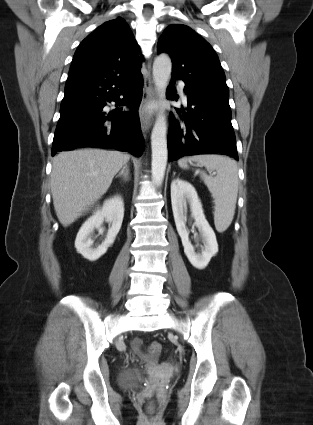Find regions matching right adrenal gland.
<instances>
[{
	"instance_id": "right-adrenal-gland-1",
	"label": "right adrenal gland",
	"mask_w": 313,
	"mask_h": 425,
	"mask_svg": "<svg viewBox=\"0 0 313 425\" xmlns=\"http://www.w3.org/2000/svg\"><path fill=\"white\" fill-rule=\"evenodd\" d=\"M117 177H120V178H122V180L124 181V182H127V181H129V179H130V177H129V168L127 167V166H124L123 168H122V170L116 175V178Z\"/></svg>"
}]
</instances>
